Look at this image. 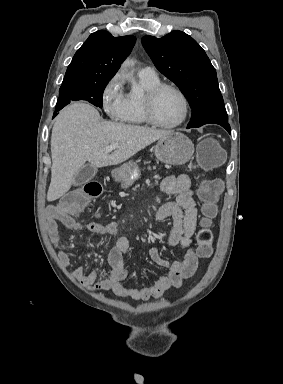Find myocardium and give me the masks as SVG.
<instances>
[{
	"instance_id": "obj_1",
	"label": "myocardium",
	"mask_w": 283,
	"mask_h": 384,
	"mask_svg": "<svg viewBox=\"0 0 283 384\" xmlns=\"http://www.w3.org/2000/svg\"><path fill=\"white\" fill-rule=\"evenodd\" d=\"M164 90H171L178 95L183 105V113L181 118L170 125L161 124L156 120L153 114V105L156 97ZM142 112L145 118V121L154 128L161 130H172L181 126L187 119L189 113L188 100L185 94L175 85L169 83H159L152 88L148 89L145 94L142 96Z\"/></svg>"
}]
</instances>
